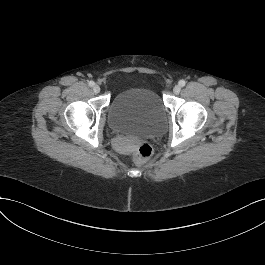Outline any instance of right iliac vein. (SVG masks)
<instances>
[{"mask_svg": "<svg viewBox=\"0 0 265 265\" xmlns=\"http://www.w3.org/2000/svg\"><path fill=\"white\" fill-rule=\"evenodd\" d=\"M93 91H94V93H99L100 92V86L99 85H94L93 86Z\"/></svg>", "mask_w": 265, "mask_h": 265, "instance_id": "1", "label": "right iliac vein"}]
</instances>
